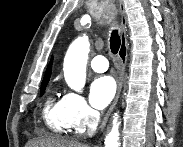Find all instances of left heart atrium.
Instances as JSON below:
<instances>
[{
	"label": "left heart atrium",
	"instance_id": "1",
	"mask_svg": "<svg viewBox=\"0 0 183 147\" xmlns=\"http://www.w3.org/2000/svg\"><path fill=\"white\" fill-rule=\"evenodd\" d=\"M116 83L111 76H99L90 85L89 98L96 109L105 108L113 99Z\"/></svg>",
	"mask_w": 183,
	"mask_h": 147
}]
</instances>
